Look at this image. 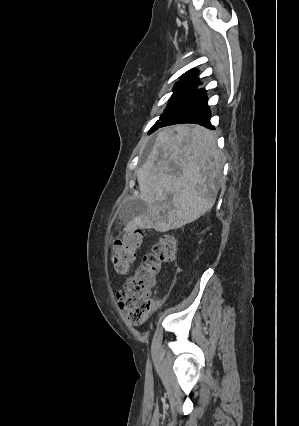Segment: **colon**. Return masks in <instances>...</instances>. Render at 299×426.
Instances as JSON below:
<instances>
[{
  "label": "colon",
  "mask_w": 299,
  "mask_h": 426,
  "mask_svg": "<svg viewBox=\"0 0 299 426\" xmlns=\"http://www.w3.org/2000/svg\"><path fill=\"white\" fill-rule=\"evenodd\" d=\"M142 241L143 233L139 230L127 232L115 241L111 261L117 273L123 274L128 271ZM176 254L175 239L170 235L160 237L118 292L119 306L132 324L141 325L154 309L152 291L156 285L157 275L164 263L175 260Z\"/></svg>",
  "instance_id": "1"
}]
</instances>
